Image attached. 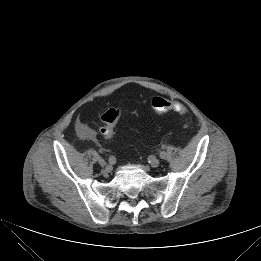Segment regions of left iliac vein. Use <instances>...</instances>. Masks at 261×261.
<instances>
[{
    "label": "left iliac vein",
    "instance_id": "left-iliac-vein-1",
    "mask_svg": "<svg viewBox=\"0 0 261 261\" xmlns=\"http://www.w3.org/2000/svg\"><path fill=\"white\" fill-rule=\"evenodd\" d=\"M159 164H160V160L157 159V158H153V159L150 161V166L153 167V168L158 167Z\"/></svg>",
    "mask_w": 261,
    "mask_h": 261
}]
</instances>
